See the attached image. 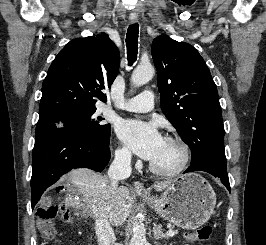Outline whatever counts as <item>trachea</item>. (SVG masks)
Instances as JSON below:
<instances>
[{
	"label": "trachea",
	"instance_id": "obj_1",
	"mask_svg": "<svg viewBox=\"0 0 266 245\" xmlns=\"http://www.w3.org/2000/svg\"><path fill=\"white\" fill-rule=\"evenodd\" d=\"M138 33L139 27L137 23L130 25L126 34V46L129 64H133L138 53Z\"/></svg>",
	"mask_w": 266,
	"mask_h": 245
}]
</instances>
